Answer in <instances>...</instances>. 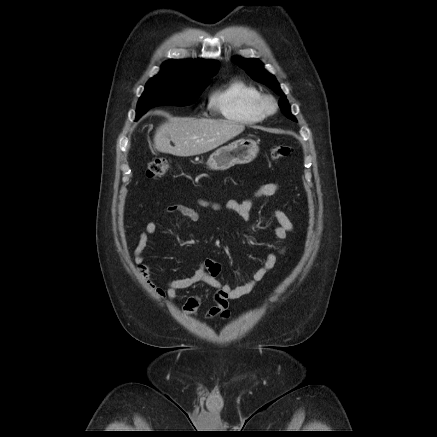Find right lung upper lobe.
Listing matches in <instances>:
<instances>
[{
  "instance_id": "obj_1",
  "label": "right lung upper lobe",
  "mask_w": 437,
  "mask_h": 437,
  "mask_svg": "<svg viewBox=\"0 0 437 437\" xmlns=\"http://www.w3.org/2000/svg\"><path fill=\"white\" fill-rule=\"evenodd\" d=\"M220 63L213 60H190L165 62L158 76H167L186 82H200L210 80L216 74Z\"/></svg>"
}]
</instances>
